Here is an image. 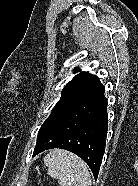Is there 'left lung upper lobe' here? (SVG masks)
I'll return each instance as SVG.
<instances>
[{
  "label": "left lung upper lobe",
  "mask_w": 138,
  "mask_h": 186,
  "mask_svg": "<svg viewBox=\"0 0 138 186\" xmlns=\"http://www.w3.org/2000/svg\"><path fill=\"white\" fill-rule=\"evenodd\" d=\"M79 72V68H74ZM101 85L98 77L87 72H80L62 90V96L56 103L51 115L41 126L37 139L50 128L59 118L74 108L81 100Z\"/></svg>",
  "instance_id": "5c2ea615"
}]
</instances>
